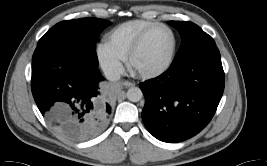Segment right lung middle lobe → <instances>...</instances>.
Instances as JSON below:
<instances>
[{
    "label": "right lung middle lobe",
    "mask_w": 267,
    "mask_h": 166,
    "mask_svg": "<svg viewBox=\"0 0 267 166\" xmlns=\"http://www.w3.org/2000/svg\"><path fill=\"white\" fill-rule=\"evenodd\" d=\"M110 24L109 21L97 18L62 21L49 29L37 45L55 44L64 47L98 66L96 41L101 31Z\"/></svg>",
    "instance_id": "dd1d6c3e"
}]
</instances>
